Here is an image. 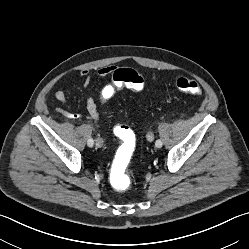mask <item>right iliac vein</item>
Listing matches in <instances>:
<instances>
[{"label":"right iliac vein","mask_w":249,"mask_h":249,"mask_svg":"<svg viewBox=\"0 0 249 249\" xmlns=\"http://www.w3.org/2000/svg\"><path fill=\"white\" fill-rule=\"evenodd\" d=\"M103 144H104V141H103L102 138H97V139H96L95 145H96L98 148L102 147Z\"/></svg>","instance_id":"63e3f726"}]
</instances>
